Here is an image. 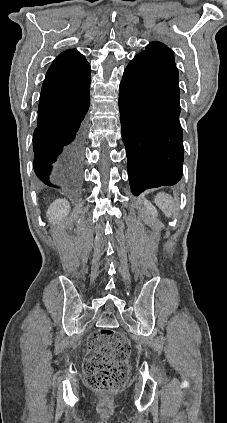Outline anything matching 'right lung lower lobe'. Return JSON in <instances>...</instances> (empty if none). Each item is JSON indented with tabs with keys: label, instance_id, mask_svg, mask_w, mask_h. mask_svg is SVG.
<instances>
[{
	"label": "right lung lower lobe",
	"instance_id": "right-lung-lower-lobe-1",
	"mask_svg": "<svg viewBox=\"0 0 227 423\" xmlns=\"http://www.w3.org/2000/svg\"><path fill=\"white\" fill-rule=\"evenodd\" d=\"M90 94L66 100L40 96L34 131V171L44 187L74 191L80 181Z\"/></svg>",
	"mask_w": 227,
	"mask_h": 423
}]
</instances>
